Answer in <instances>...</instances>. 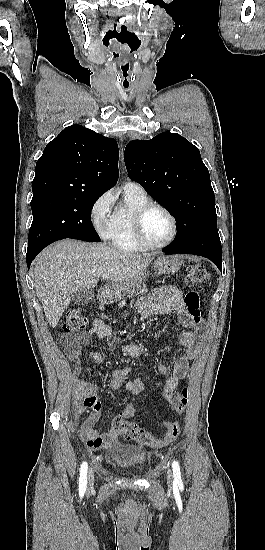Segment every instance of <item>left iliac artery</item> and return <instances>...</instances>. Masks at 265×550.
I'll list each match as a JSON object with an SVG mask.
<instances>
[{"mask_svg": "<svg viewBox=\"0 0 265 550\" xmlns=\"http://www.w3.org/2000/svg\"><path fill=\"white\" fill-rule=\"evenodd\" d=\"M172 468H173V475H174V483L177 485H182L183 483L181 479L179 463L177 461H173Z\"/></svg>", "mask_w": 265, "mask_h": 550, "instance_id": "obj_1", "label": "left iliac artery"}]
</instances>
